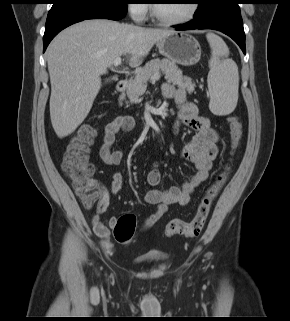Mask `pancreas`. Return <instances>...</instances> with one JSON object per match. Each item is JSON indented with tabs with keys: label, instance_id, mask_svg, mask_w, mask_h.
Here are the masks:
<instances>
[{
	"label": "pancreas",
	"instance_id": "obj_1",
	"mask_svg": "<svg viewBox=\"0 0 290 321\" xmlns=\"http://www.w3.org/2000/svg\"><path fill=\"white\" fill-rule=\"evenodd\" d=\"M160 71L165 75V79L174 85L186 89L189 93L194 91L195 84L192 79L183 76L182 71L174 62L168 59H153L146 63L143 68L139 69L134 78L129 80L126 94L130 102L138 101L139 97L142 96L147 89V81L152 79L154 75ZM123 99L124 96H121L120 101Z\"/></svg>",
	"mask_w": 290,
	"mask_h": 321
}]
</instances>
